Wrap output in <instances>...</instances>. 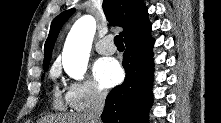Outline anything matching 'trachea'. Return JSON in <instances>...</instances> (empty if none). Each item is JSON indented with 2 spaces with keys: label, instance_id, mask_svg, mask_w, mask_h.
I'll use <instances>...</instances> for the list:
<instances>
[{
  "label": "trachea",
  "instance_id": "obj_1",
  "mask_svg": "<svg viewBox=\"0 0 221 123\" xmlns=\"http://www.w3.org/2000/svg\"><path fill=\"white\" fill-rule=\"evenodd\" d=\"M114 43L117 48H124L123 38L121 35H116L114 38Z\"/></svg>",
  "mask_w": 221,
  "mask_h": 123
}]
</instances>
